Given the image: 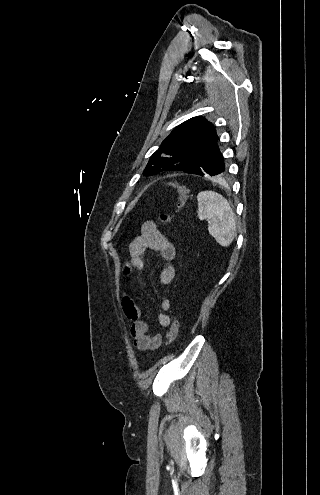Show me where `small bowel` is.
<instances>
[{"label":"small bowel","mask_w":320,"mask_h":495,"mask_svg":"<svg viewBox=\"0 0 320 495\" xmlns=\"http://www.w3.org/2000/svg\"><path fill=\"white\" fill-rule=\"evenodd\" d=\"M147 251L158 252L163 258L164 265L160 272V283L168 285L175 276L173 261L176 257V247L169 238L161 233L153 220L145 222L141 227L140 235L131 242L128 268H135L142 273L147 266ZM122 307L125 315L132 322L130 334L134 346L141 351L158 349L162 343V336L150 333L151 325L143 319L142 310L129 298H123ZM161 308L162 312L158 314L157 318L158 323L162 327H169L171 317L166 311L170 308V301L167 298L162 301Z\"/></svg>","instance_id":"1"}]
</instances>
